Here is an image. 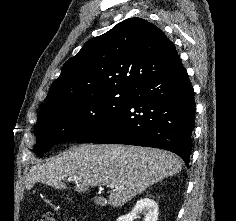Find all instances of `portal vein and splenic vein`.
<instances>
[{
	"label": "portal vein and splenic vein",
	"mask_w": 236,
	"mask_h": 221,
	"mask_svg": "<svg viewBox=\"0 0 236 221\" xmlns=\"http://www.w3.org/2000/svg\"><path fill=\"white\" fill-rule=\"evenodd\" d=\"M69 180H72V181H74V180H76V178H71V179H69ZM107 187H109V188H111V189H114L115 188V186L113 185V184H110V185H107Z\"/></svg>",
	"instance_id": "portal-vein-and-splenic-vein-1"
}]
</instances>
